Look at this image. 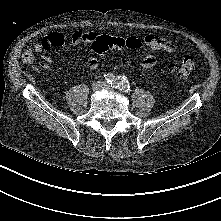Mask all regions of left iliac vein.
<instances>
[{"mask_svg":"<svg viewBox=\"0 0 221 221\" xmlns=\"http://www.w3.org/2000/svg\"><path fill=\"white\" fill-rule=\"evenodd\" d=\"M104 88H106V89H112V86H110L109 84H107V83H105V85H104Z\"/></svg>","mask_w":221,"mask_h":221,"instance_id":"4c4485c4","label":"left iliac vein"}]
</instances>
